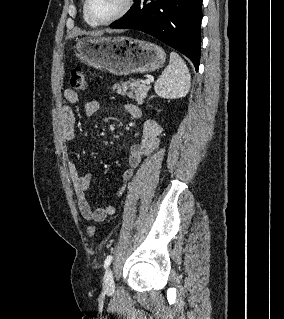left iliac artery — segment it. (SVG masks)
<instances>
[{
  "label": "left iliac artery",
  "mask_w": 284,
  "mask_h": 319,
  "mask_svg": "<svg viewBox=\"0 0 284 319\" xmlns=\"http://www.w3.org/2000/svg\"><path fill=\"white\" fill-rule=\"evenodd\" d=\"M112 255H108L107 257H106V259H105V261H104V268H107L109 265H110V263H111V261H112Z\"/></svg>",
  "instance_id": "44dca946"
}]
</instances>
